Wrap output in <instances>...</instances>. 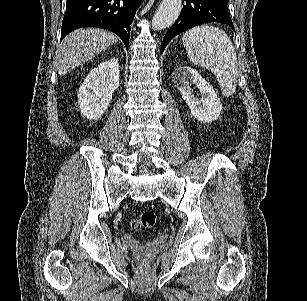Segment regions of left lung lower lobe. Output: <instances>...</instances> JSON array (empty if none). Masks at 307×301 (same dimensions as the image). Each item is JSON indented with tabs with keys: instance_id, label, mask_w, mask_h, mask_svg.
I'll list each match as a JSON object with an SVG mask.
<instances>
[{
	"instance_id": "1",
	"label": "left lung lower lobe",
	"mask_w": 307,
	"mask_h": 301,
	"mask_svg": "<svg viewBox=\"0 0 307 301\" xmlns=\"http://www.w3.org/2000/svg\"><path fill=\"white\" fill-rule=\"evenodd\" d=\"M227 2L228 0H185L180 16L163 39L161 53L173 37L197 25L219 22L234 30Z\"/></svg>"
}]
</instances>
